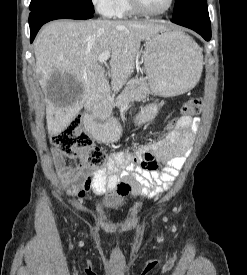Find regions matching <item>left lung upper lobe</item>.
I'll list each match as a JSON object with an SVG mask.
<instances>
[{"label": "left lung upper lobe", "mask_w": 247, "mask_h": 275, "mask_svg": "<svg viewBox=\"0 0 247 275\" xmlns=\"http://www.w3.org/2000/svg\"><path fill=\"white\" fill-rule=\"evenodd\" d=\"M198 15H208L206 0H175L172 19H185Z\"/></svg>", "instance_id": "5c2ea615"}]
</instances>
